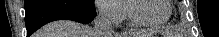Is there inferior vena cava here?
<instances>
[{
  "label": "inferior vena cava",
  "instance_id": "inferior-vena-cava-1",
  "mask_svg": "<svg viewBox=\"0 0 219 37\" xmlns=\"http://www.w3.org/2000/svg\"><path fill=\"white\" fill-rule=\"evenodd\" d=\"M94 35L96 37H112V16L108 7H100L94 19Z\"/></svg>",
  "mask_w": 219,
  "mask_h": 37
}]
</instances>
